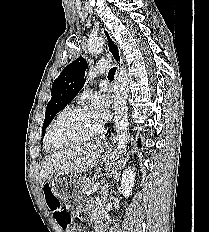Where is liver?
Returning a JSON list of instances; mask_svg holds the SVG:
<instances>
[{
  "mask_svg": "<svg viewBox=\"0 0 209 232\" xmlns=\"http://www.w3.org/2000/svg\"><path fill=\"white\" fill-rule=\"evenodd\" d=\"M99 142L79 143L46 158L40 171V186L54 174H76L91 169L100 156Z\"/></svg>",
  "mask_w": 209,
  "mask_h": 232,
  "instance_id": "6515ba94",
  "label": "liver"
}]
</instances>
